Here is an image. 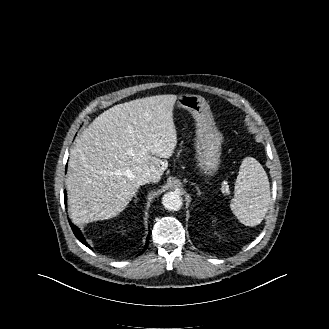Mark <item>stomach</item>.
<instances>
[{"mask_svg": "<svg viewBox=\"0 0 329 329\" xmlns=\"http://www.w3.org/2000/svg\"><path fill=\"white\" fill-rule=\"evenodd\" d=\"M177 103L196 121L197 167L206 175H213L220 164L222 135L215 126L210 106L204 97L191 94L181 95Z\"/></svg>", "mask_w": 329, "mask_h": 329, "instance_id": "0dacf381", "label": "stomach"}]
</instances>
